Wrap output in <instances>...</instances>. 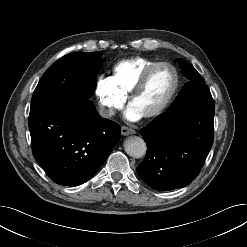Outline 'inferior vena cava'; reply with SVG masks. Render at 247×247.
I'll return each mask as SVG.
<instances>
[{"label": "inferior vena cava", "instance_id": "inferior-vena-cava-1", "mask_svg": "<svg viewBox=\"0 0 247 247\" xmlns=\"http://www.w3.org/2000/svg\"><path fill=\"white\" fill-rule=\"evenodd\" d=\"M114 110L111 108L101 107L99 109V115L103 118H109L114 115Z\"/></svg>", "mask_w": 247, "mask_h": 247}]
</instances>
